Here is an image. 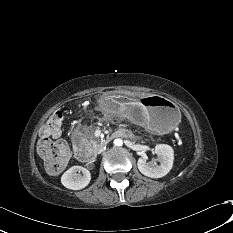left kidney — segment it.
I'll return each mask as SVG.
<instances>
[{"label":"left kidney","mask_w":233,"mask_h":233,"mask_svg":"<svg viewBox=\"0 0 233 233\" xmlns=\"http://www.w3.org/2000/svg\"><path fill=\"white\" fill-rule=\"evenodd\" d=\"M157 161L147 162L145 157L138 159L137 166L139 171L150 178H161L169 173L173 166L174 151L171 146L158 144L155 146Z\"/></svg>","instance_id":"obj_1"}]
</instances>
